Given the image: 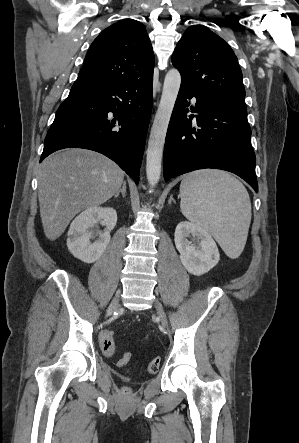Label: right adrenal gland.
Returning a JSON list of instances; mask_svg holds the SVG:
<instances>
[{
	"mask_svg": "<svg viewBox=\"0 0 299 443\" xmlns=\"http://www.w3.org/2000/svg\"><path fill=\"white\" fill-rule=\"evenodd\" d=\"M120 193L123 197H126V181L123 182L122 188L115 194L114 198H117Z\"/></svg>",
	"mask_w": 299,
	"mask_h": 443,
	"instance_id": "obj_1",
	"label": "right adrenal gland"
}]
</instances>
